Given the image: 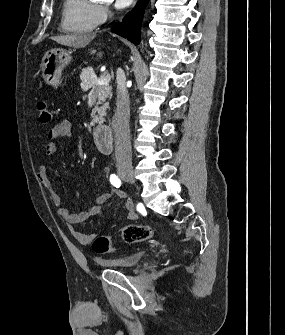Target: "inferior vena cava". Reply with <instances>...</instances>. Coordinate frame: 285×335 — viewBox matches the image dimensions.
Segmentation results:
<instances>
[{"label":"inferior vena cava","mask_w":285,"mask_h":335,"mask_svg":"<svg viewBox=\"0 0 285 335\" xmlns=\"http://www.w3.org/2000/svg\"><path fill=\"white\" fill-rule=\"evenodd\" d=\"M117 100L114 114L115 152L119 160L131 164L130 106L126 78L123 70H117Z\"/></svg>","instance_id":"602c4592"}]
</instances>
